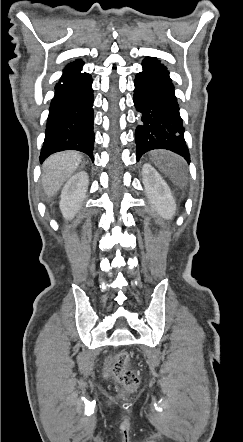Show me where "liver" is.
Instances as JSON below:
<instances>
[{"mask_svg":"<svg viewBox=\"0 0 243 442\" xmlns=\"http://www.w3.org/2000/svg\"><path fill=\"white\" fill-rule=\"evenodd\" d=\"M83 160L77 151H64L51 155L43 163L42 186L48 196L53 197L73 175Z\"/></svg>","mask_w":243,"mask_h":442,"instance_id":"liver-1","label":"liver"}]
</instances>
